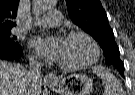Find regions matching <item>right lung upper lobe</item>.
Here are the masks:
<instances>
[{
    "mask_svg": "<svg viewBox=\"0 0 135 95\" xmlns=\"http://www.w3.org/2000/svg\"><path fill=\"white\" fill-rule=\"evenodd\" d=\"M19 0H0V30H11L16 25L12 21L16 18Z\"/></svg>",
    "mask_w": 135,
    "mask_h": 95,
    "instance_id": "1",
    "label": "right lung upper lobe"
}]
</instances>
